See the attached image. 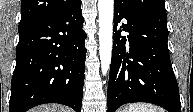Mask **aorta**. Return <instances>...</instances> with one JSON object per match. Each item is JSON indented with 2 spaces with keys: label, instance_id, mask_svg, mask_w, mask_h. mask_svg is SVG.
I'll return each mask as SVG.
<instances>
[{
  "label": "aorta",
  "instance_id": "1",
  "mask_svg": "<svg viewBox=\"0 0 193 112\" xmlns=\"http://www.w3.org/2000/svg\"><path fill=\"white\" fill-rule=\"evenodd\" d=\"M113 7V0H98L99 57L103 75L109 71L112 57Z\"/></svg>",
  "mask_w": 193,
  "mask_h": 112
}]
</instances>
